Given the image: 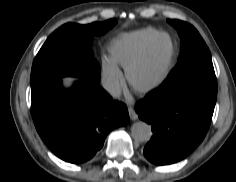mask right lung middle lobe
<instances>
[{
    "mask_svg": "<svg viewBox=\"0 0 236 182\" xmlns=\"http://www.w3.org/2000/svg\"><path fill=\"white\" fill-rule=\"evenodd\" d=\"M116 19L88 25L67 23L53 32L36 55L32 70L31 87L41 82L79 77L87 83L100 84V66L86 49L92 36L104 34L116 24Z\"/></svg>",
    "mask_w": 236,
    "mask_h": 182,
    "instance_id": "obj_1",
    "label": "right lung middle lobe"
}]
</instances>
